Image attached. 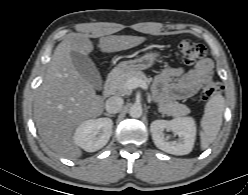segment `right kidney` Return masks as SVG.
<instances>
[{"label":"right kidney","instance_id":"ca27d5eb","mask_svg":"<svg viewBox=\"0 0 248 195\" xmlns=\"http://www.w3.org/2000/svg\"><path fill=\"white\" fill-rule=\"evenodd\" d=\"M113 121L109 118L90 119L75 130L74 142L87 152L103 148L112 134Z\"/></svg>","mask_w":248,"mask_h":195}]
</instances>
